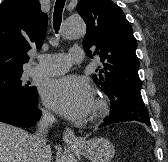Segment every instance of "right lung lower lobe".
<instances>
[{
  "mask_svg": "<svg viewBox=\"0 0 168 162\" xmlns=\"http://www.w3.org/2000/svg\"><path fill=\"white\" fill-rule=\"evenodd\" d=\"M37 93L30 100L0 97V122L17 127H32L39 119Z\"/></svg>",
  "mask_w": 168,
  "mask_h": 162,
  "instance_id": "right-lung-lower-lobe-1",
  "label": "right lung lower lobe"
}]
</instances>
